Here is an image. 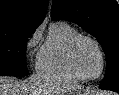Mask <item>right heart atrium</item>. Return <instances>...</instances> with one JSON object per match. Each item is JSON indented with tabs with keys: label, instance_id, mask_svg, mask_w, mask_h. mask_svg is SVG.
<instances>
[{
	"label": "right heart atrium",
	"instance_id": "right-heart-atrium-1",
	"mask_svg": "<svg viewBox=\"0 0 119 95\" xmlns=\"http://www.w3.org/2000/svg\"><path fill=\"white\" fill-rule=\"evenodd\" d=\"M41 31L40 29H36L26 40L25 48L27 51L32 50L40 40Z\"/></svg>",
	"mask_w": 119,
	"mask_h": 95
}]
</instances>
